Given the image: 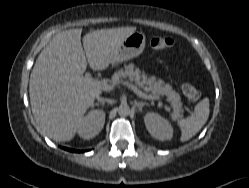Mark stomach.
<instances>
[{
	"instance_id": "1",
	"label": "stomach",
	"mask_w": 249,
	"mask_h": 188,
	"mask_svg": "<svg viewBox=\"0 0 249 188\" xmlns=\"http://www.w3.org/2000/svg\"><path fill=\"white\" fill-rule=\"evenodd\" d=\"M146 43V37L142 32H134L123 40L115 52L111 64L122 63L140 55Z\"/></svg>"
}]
</instances>
